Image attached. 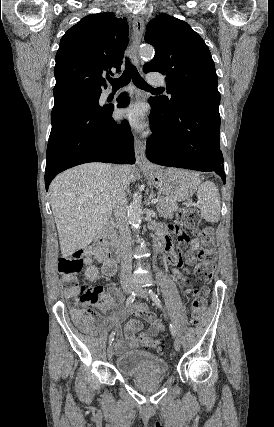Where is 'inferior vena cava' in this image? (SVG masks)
Wrapping results in <instances>:
<instances>
[{"mask_svg":"<svg viewBox=\"0 0 274 427\" xmlns=\"http://www.w3.org/2000/svg\"><path fill=\"white\" fill-rule=\"evenodd\" d=\"M117 170V168H115ZM120 172V168H118ZM126 188H124V182L118 184L117 190L114 192L113 196V212L116 217V225L119 231V243L121 249L123 251H130L132 241H131V233L129 229V223L126 215L127 208V200H126ZM122 263L125 265H132V257H128V259H123Z\"/></svg>","mask_w":274,"mask_h":427,"instance_id":"602c4592","label":"inferior vena cava"}]
</instances>
